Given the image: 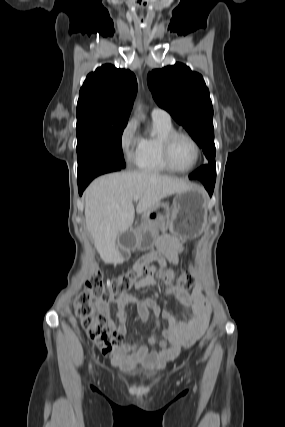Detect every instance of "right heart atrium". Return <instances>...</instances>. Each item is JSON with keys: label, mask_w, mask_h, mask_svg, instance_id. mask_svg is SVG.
Wrapping results in <instances>:
<instances>
[{"label": "right heart atrium", "mask_w": 285, "mask_h": 427, "mask_svg": "<svg viewBox=\"0 0 285 427\" xmlns=\"http://www.w3.org/2000/svg\"><path fill=\"white\" fill-rule=\"evenodd\" d=\"M137 129V121L135 119H130L120 133V148L127 161L134 160L139 145L140 138L137 134Z\"/></svg>", "instance_id": "1"}]
</instances>
